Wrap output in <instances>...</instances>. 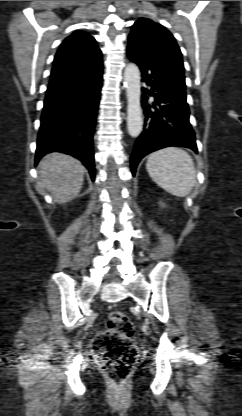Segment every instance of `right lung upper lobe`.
Returning <instances> with one entry per match:
<instances>
[{
	"mask_svg": "<svg viewBox=\"0 0 242 416\" xmlns=\"http://www.w3.org/2000/svg\"><path fill=\"white\" fill-rule=\"evenodd\" d=\"M102 69L96 40L84 31H76L63 41L55 55L49 86L73 82Z\"/></svg>",
	"mask_w": 242,
	"mask_h": 416,
	"instance_id": "obj_1",
	"label": "right lung upper lobe"
}]
</instances>
